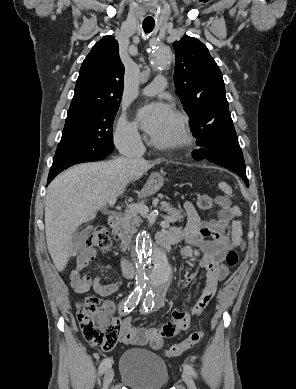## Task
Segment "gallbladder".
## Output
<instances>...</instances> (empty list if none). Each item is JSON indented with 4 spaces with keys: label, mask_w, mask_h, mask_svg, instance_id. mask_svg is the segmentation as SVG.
<instances>
[{
    "label": "gallbladder",
    "mask_w": 296,
    "mask_h": 389,
    "mask_svg": "<svg viewBox=\"0 0 296 389\" xmlns=\"http://www.w3.org/2000/svg\"><path fill=\"white\" fill-rule=\"evenodd\" d=\"M91 227H87L86 229L82 230L81 232H77L72 237V251L74 253H79L82 247L83 239L90 231Z\"/></svg>",
    "instance_id": "gallbladder-1"
}]
</instances>
